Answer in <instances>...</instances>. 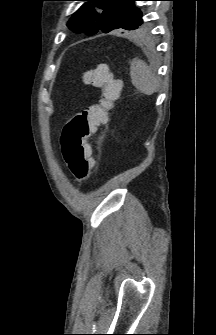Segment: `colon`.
<instances>
[{
  "mask_svg": "<svg viewBox=\"0 0 216 335\" xmlns=\"http://www.w3.org/2000/svg\"><path fill=\"white\" fill-rule=\"evenodd\" d=\"M85 79L101 89L100 100L75 113L63 127L60 136L63 159L79 181L89 179L95 165L87 139L99 125L107 122L109 111L119 99L123 85V81L115 78L106 64L89 69Z\"/></svg>",
  "mask_w": 216,
  "mask_h": 335,
  "instance_id": "obj_1",
  "label": "colon"
}]
</instances>
